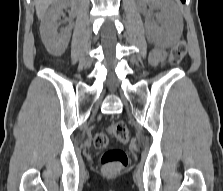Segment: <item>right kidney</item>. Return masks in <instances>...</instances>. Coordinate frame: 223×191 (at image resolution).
Masks as SVG:
<instances>
[{
	"label": "right kidney",
	"instance_id": "obj_1",
	"mask_svg": "<svg viewBox=\"0 0 223 191\" xmlns=\"http://www.w3.org/2000/svg\"><path fill=\"white\" fill-rule=\"evenodd\" d=\"M76 0H56L42 20L40 33L47 50L54 55L65 52L71 37L70 31L65 28L58 31L59 18L67 7L75 8Z\"/></svg>",
	"mask_w": 223,
	"mask_h": 191
}]
</instances>
